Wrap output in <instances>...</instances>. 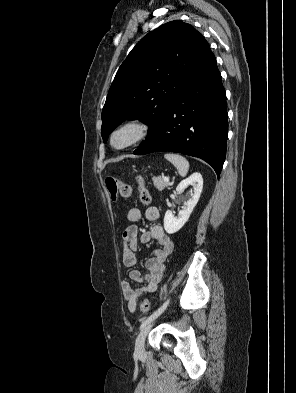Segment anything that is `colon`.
<instances>
[{
    "instance_id": "colon-1",
    "label": "colon",
    "mask_w": 296,
    "mask_h": 393,
    "mask_svg": "<svg viewBox=\"0 0 296 393\" xmlns=\"http://www.w3.org/2000/svg\"><path fill=\"white\" fill-rule=\"evenodd\" d=\"M137 182H138V191H139L140 201L142 202V204H148V202L150 200V196H149L148 190L145 186L144 179L141 176H139L137 178ZM105 184H106L108 191L110 192L111 196L114 199L117 198V196H121L122 198L129 199L132 195V189L129 184L122 182L112 176L106 177ZM140 309L143 314L147 315L150 311L149 301L146 299L143 300L140 305Z\"/></svg>"
}]
</instances>
